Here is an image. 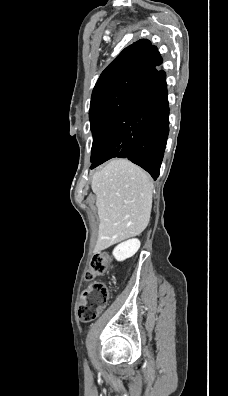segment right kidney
Wrapping results in <instances>:
<instances>
[{
  "label": "right kidney",
  "mask_w": 228,
  "mask_h": 396,
  "mask_svg": "<svg viewBox=\"0 0 228 396\" xmlns=\"http://www.w3.org/2000/svg\"><path fill=\"white\" fill-rule=\"evenodd\" d=\"M140 248L138 239H130L117 245L113 250V256L117 261H124L132 257Z\"/></svg>",
  "instance_id": "ca27d5eb"
}]
</instances>
